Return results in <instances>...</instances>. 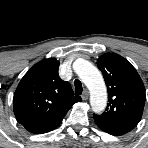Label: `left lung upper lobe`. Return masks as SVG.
<instances>
[{"mask_svg": "<svg viewBox=\"0 0 148 148\" xmlns=\"http://www.w3.org/2000/svg\"><path fill=\"white\" fill-rule=\"evenodd\" d=\"M107 89L108 105L102 114H93L98 126L128 132L140 121L144 104L145 88L135 68L118 54H104L97 60Z\"/></svg>", "mask_w": 148, "mask_h": 148, "instance_id": "1", "label": "left lung upper lobe"}]
</instances>
